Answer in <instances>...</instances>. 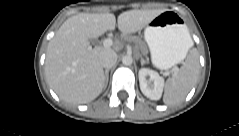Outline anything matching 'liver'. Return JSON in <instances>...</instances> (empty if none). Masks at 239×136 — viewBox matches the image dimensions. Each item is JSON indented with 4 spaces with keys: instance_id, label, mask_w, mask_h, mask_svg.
I'll return each instance as SVG.
<instances>
[{
    "instance_id": "liver-1",
    "label": "liver",
    "mask_w": 239,
    "mask_h": 136,
    "mask_svg": "<svg viewBox=\"0 0 239 136\" xmlns=\"http://www.w3.org/2000/svg\"><path fill=\"white\" fill-rule=\"evenodd\" d=\"M163 10H130L118 16L123 34L141 31ZM116 18L111 13H79L68 18L47 47L46 79L63 101L85 104L97 98L105 84L99 56L111 48H92L89 40L113 31Z\"/></svg>"
}]
</instances>
